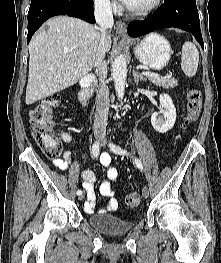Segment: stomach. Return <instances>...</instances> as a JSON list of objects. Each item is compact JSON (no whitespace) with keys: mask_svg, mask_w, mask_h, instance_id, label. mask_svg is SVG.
Instances as JSON below:
<instances>
[{"mask_svg":"<svg viewBox=\"0 0 221 263\" xmlns=\"http://www.w3.org/2000/svg\"><path fill=\"white\" fill-rule=\"evenodd\" d=\"M134 53L143 65L153 70H160L169 62L172 51L166 38L151 33L135 46Z\"/></svg>","mask_w":221,"mask_h":263,"instance_id":"0dacf381","label":"stomach"}]
</instances>
